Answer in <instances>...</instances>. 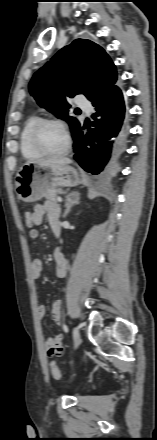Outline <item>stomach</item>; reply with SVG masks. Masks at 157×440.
I'll use <instances>...</instances> for the list:
<instances>
[{
    "label": "stomach",
    "mask_w": 157,
    "mask_h": 440,
    "mask_svg": "<svg viewBox=\"0 0 157 440\" xmlns=\"http://www.w3.org/2000/svg\"><path fill=\"white\" fill-rule=\"evenodd\" d=\"M81 175L69 165L48 167L43 163H29L20 168L15 177L18 199L26 203L39 201L58 187L80 184Z\"/></svg>",
    "instance_id": "obj_1"
}]
</instances>
